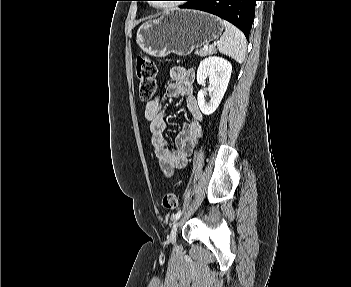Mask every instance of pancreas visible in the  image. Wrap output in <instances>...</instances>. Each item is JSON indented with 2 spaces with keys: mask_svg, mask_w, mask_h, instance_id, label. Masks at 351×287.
Wrapping results in <instances>:
<instances>
[{
  "mask_svg": "<svg viewBox=\"0 0 351 287\" xmlns=\"http://www.w3.org/2000/svg\"><path fill=\"white\" fill-rule=\"evenodd\" d=\"M214 52V49H212V48H208L207 50H205L204 48L203 49H198V50H196V54L198 55V56H201V57H205V56H207V55H210V54H212Z\"/></svg>",
  "mask_w": 351,
  "mask_h": 287,
  "instance_id": "1",
  "label": "pancreas"
}]
</instances>
